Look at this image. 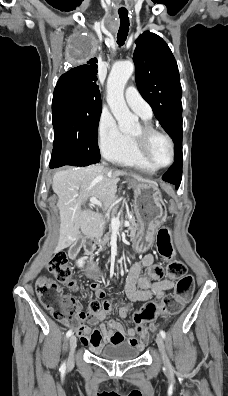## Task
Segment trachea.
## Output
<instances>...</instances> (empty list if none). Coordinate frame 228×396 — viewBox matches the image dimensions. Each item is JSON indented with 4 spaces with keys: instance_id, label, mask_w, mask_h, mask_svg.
Wrapping results in <instances>:
<instances>
[{
    "instance_id": "obj_1",
    "label": "trachea",
    "mask_w": 228,
    "mask_h": 396,
    "mask_svg": "<svg viewBox=\"0 0 228 396\" xmlns=\"http://www.w3.org/2000/svg\"><path fill=\"white\" fill-rule=\"evenodd\" d=\"M118 13L120 18V27L117 35V43L119 46H123L128 36L130 22L127 10H119Z\"/></svg>"
}]
</instances>
